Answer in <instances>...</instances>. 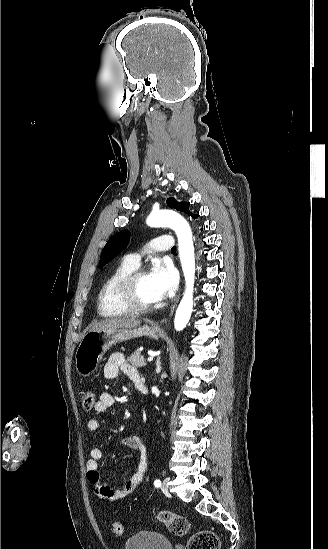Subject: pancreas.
<instances>
[{"label":"pancreas","instance_id":"obj_1","mask_svg":"<svg viewBox=\"0 0 328 549\" xmlns=\"http://www.w3.org/2000/svg\"><path fill=\"white\" fill-rule=\"evenodd\" d=\"M127 361H129L131 365H134V367H146L147 365L143 355H141V351H134V353L128 357Z\"/></svg>","mask_w":328,"mask_h":549}]
</instances>
